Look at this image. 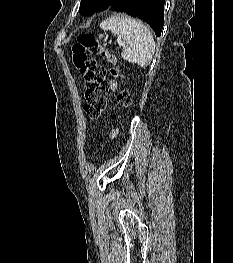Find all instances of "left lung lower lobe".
<instances>
[{
	"instance_id": "1",
	"label": "left lung lower lobe",
	"mask_w": 233,
	"mask_h": 263,
	"mask_svg": "<svg viewBox=\"0 0 233 263\" xmlns=\"http://www.w3.org/2000/svg\"><path fill=\"white\" fill-rule=\"evenodd\" d=\"M164 4L165 0H115L108 9L144 20L160 36L164 25Z\"/></svg>"
}]
</instances>
